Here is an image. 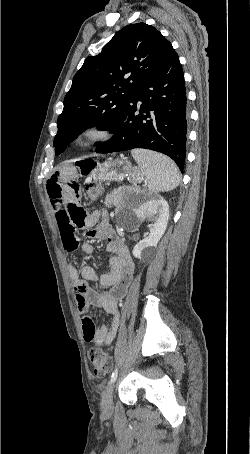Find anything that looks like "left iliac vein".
Segmentation results:
<instances>
[{
  "instance_id": "left-iliac-vein-1",
  "label": "left iliac vein",
  "mask_w": 250,
  "mask_h": 454,
  "mask_svg": "<svg viewBox=\"0 0 250 454\" xmlns=\"http://www.w3.org/2000/svg\"><path fill=\"white\" fill-rule=\"evenodd\" d=\"M113 392H114V382L110 383L103 392L101 400V409L104 414H110L113 411Z\"/></svg>"
}]
</instances>
